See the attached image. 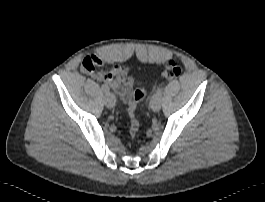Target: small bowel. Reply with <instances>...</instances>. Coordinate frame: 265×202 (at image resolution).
<instances>
[{
	"instance_id": "c3829d8e",
	"label": "small bowel",
	"mask_w": 265,
	"mask_h": 202,
	"mask_svg": "<svg viewBox=\"0 0 265 202\" xmlns=\"http://www.w3.org/2000/svg\"><path fill=\"white\" fill-rule=\"evenodd\" d=\"M109 64L101 57L90 54L83 58L80 71L96 80L104 81L113 91H115L123 101L131 100L133 94V80L128 75L127 70L113 64L110 71H102L97 68H107Z\"/></svg>"
}]
</instances>
